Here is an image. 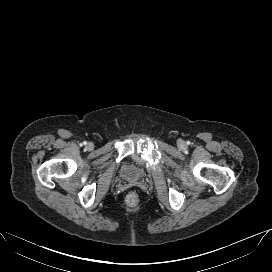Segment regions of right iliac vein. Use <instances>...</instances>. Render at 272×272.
<instances>
[{"label": "right iliac vein", "mask_w": 272, "mask_h": 272, "mask_svg": "<svg viewBox=\"0 0 272 272\" xmlns=\"http://www.w3.org/2000/svg\"><path fill=\"white\" fill-rule=\"evenodd\" d=\"M86 147H87L88 150H92L93 149V144L92 143H88L86 145Z\"/></svg>", "instance_id": "obj_1"}]
</instances>
